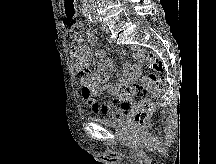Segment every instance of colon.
<instances>
[{
  "label": "colon",
  "mask_w": 216,
  "mask_h": 164,
  "mask_svg": "<svg viewBox=\"0 0 216 164\" xmlns=\"http://www.w3.org/2000/svg\"><path fill=\"white\" fill-rule=\"evenodd\" d=\"M146 59L151 73L144 76L139 82L124 87L120 93L122 101L139 98L148 93L157 95L164 90L166 85L164 78L156 75L163 70L162 61L154 53H148ZM152 108L153 105L150 99H141L132 116V125L137 128L143 127L152 112Z\"/></svg>",
  "instance_id": "1"
}]
</instances>
